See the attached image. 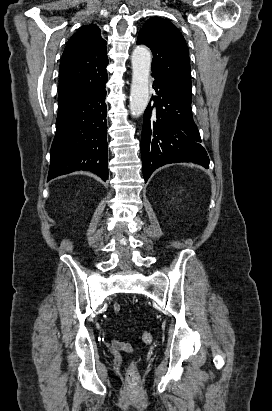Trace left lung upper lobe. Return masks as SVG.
Returning a JSON list of instances; mask_svg holds the SVG:
<instances>
[{
  "instance_id": "5c2ea615",
  "label": "left lung upper lobe",
  "mask_w": 272,
  "mask_h": 411,
  "mask_svg": "<svg viewBox=\"0 0 272 411\" xmlns=\"http://www.w3.org/2000/svg\"><path fill=\"white\" fill-rule=\"evenodd\" d=\"M137 44L153 52L152 76L192 97L189 51L184 37L171 22L152 17L140 30Z\"/></svg>"
}]
</instances>
